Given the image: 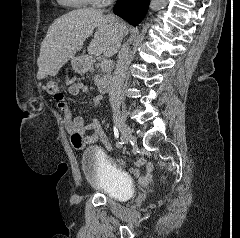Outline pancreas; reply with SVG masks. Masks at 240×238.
Wrapping results in <instances>:
<instances>
[{"mask_svg": "<svg viewBox=\"0 0 240 238\" xmlns=\"http://www.w3.org/2000/svg\"><path fill=\"white\" fill-rule=\"evenodd\" d=\"M99 67H100V69H101V70H100V74L95 75V76L93 77L94 84H95L97 87H99V86L102 84V82H103V76H104L106 73H108V70L110 69V68H109V69L104 70L99 63H96V64H95V68H99Z\"/></svg>", "mask_w": 240, "mask_h": 238, "instance_id": "pancreas-1", "label": "pancreas"}]
</instances>
